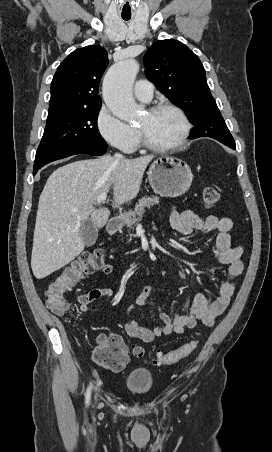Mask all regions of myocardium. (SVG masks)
I'll list each match as a JSON object with an SVG mask.
<instances>
[{
  "label": "myocardium",
  "instance_id": "obj_1",
  "mask_svg": "<svg viewBox=\"0 0 272 452\" xmlns=\"http://www.w3.org/2000/svg\"><path fill=\"white\" fill-rule=\"evenodd\" d=\"M160 111L173 112L179 118V120L181 122L180 134L178 135L176 140L170 144L157 145V144L150 142L147 139L144 131L141 128H137L140 142L143 146H145L146 148H148L152 151L167 152V151L176 150L185 143V141L187 140V138L189 136L190 129H191L189 119L181 108H179L178 106L173 105V104L162 103V104L155 105L149 109L150 114H155Z\"/></svg>",
  "mask_w": 272,
  "mask_h": 452
}]
</instances>
